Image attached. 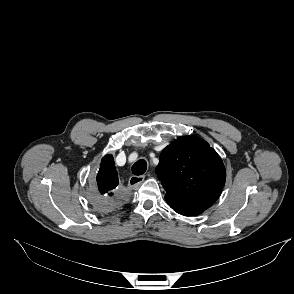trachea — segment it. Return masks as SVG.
Here are the masks:
<instances>
[{"label":"trachea","mask_w":294,"mask_h":294,"mask_svg":"<svg viewBox=\"0 0 294 294\" xmlns=\"http://www.w3.org/2000/svg\"><path fill=\"white\" fill-rule=\"evenodd\" d=\"M146 169L147 162L144 159H140L132 166V173L136 176H140L145 173Z\"/></svg>","instance_id":"3493384b"}]
</instances>
